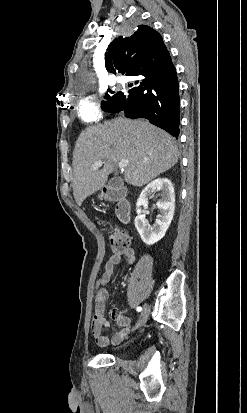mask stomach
<instances>
[{"label": "stomach", "mask_w": 247, "mask_h": 413, "mask_svg": "<svg viewBox=\"0 0 247 413\" xmlns=\"http://www.w3.org/2000/svg\"><path fill=\"white\" fill-rule=\"evenodd\" d=\"M102 196H105L104 192H101V194H99V198H102Z\"/></svg>", "instance_id": "1"}]
</instances>
